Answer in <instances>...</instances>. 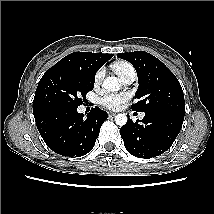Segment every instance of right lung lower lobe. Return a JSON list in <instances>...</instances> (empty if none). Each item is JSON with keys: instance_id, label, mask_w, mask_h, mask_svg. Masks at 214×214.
I'll list each match as a JSON object with an SVG mask.
<instances>
[{"instance_id": "98d812e1", "label": "right lung lower lobe", "mask_w": 214, "mask_h": 214, "mask_svg": "<svg viewBox=\"0 0 214 214\" xmlns=\"http://www.w3.org/2000/svg\"><path fill=\"white\" fill-rule=\"evenodd\" d=\"M78 107H55L34 115L46 145L62 156L80 157L92 150L107 112L92 108L87 117Z\"/></svg>"}]
</instances>
